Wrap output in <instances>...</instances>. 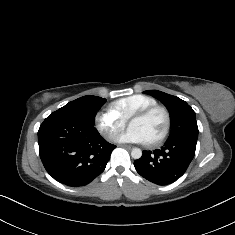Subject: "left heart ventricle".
Listing matches in <instances>:
<instances>
[{"label": "left heart ventricle", "instance_id": "obj_1", "mask_svg": "<svg viewBox=\"0 0 235 235\" xmlns=\"http://www.w3.org/2000/svg\"><path fill=\"white\" fill-rule=\"evenodd\" d=\"M130 127L139 129L150 142L160 136L166 127V118L162 112H155L145 119H134L130 122Z\"/></svg>", "mask_w": 235, "mask_h": 235}]
</instances>
